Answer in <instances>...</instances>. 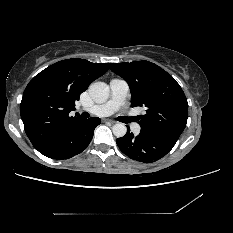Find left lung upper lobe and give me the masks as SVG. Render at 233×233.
Masks as SVG:
<instances>
[{"label":"left lung upper lobe","mask_w":233,"mask_h":233,"mask_svg":"<svg viewBox=\"0 0 233 233\" xmlns=\"http://www.w3.org/2000/svg\"><path fill=\"white\" fill-rule=\"evenodd\" d=\"M110 69L127 81L132 107H146L138 122L141 132L177 141L186 127L188 103L176 80L149 61L110 63Z\"/></svg>","instance_id":"1"}]
</instances>
